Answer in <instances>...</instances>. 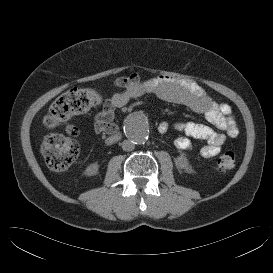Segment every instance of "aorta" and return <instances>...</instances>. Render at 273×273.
Wrapping results in <instances>:
<instances>
[{"label": "aorta", "instance_id": "aorta-1", "mask_svg": "<svg viewBox=\"0 0 273 273\" xmlns=\"http://www.w3.org/2000/svg\"><path fill=\"white\" fill-rule=\"evenodd\" d=\"M125 131L135 144L142 145L148 141L149 129L141 118H131L125 125Z\"/></svg>", "mask_w": 273, "mask_h": 273}]
</instances>
